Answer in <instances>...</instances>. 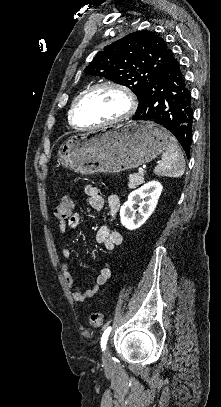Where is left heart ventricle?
<instances>
[{
	"instance_id": "left-heart-ventricle-1",
	"label": "left heart ventricle",
	"mask_w": 221,
	"mask_h": 407,
	"mask_svg": "<svg viewBox=\"0 0 221 407\" xmlns=\"http://www.w3.org/2000/svg\"><path fill=\"white\" fill-rule=\"evenodd\" d=\"M128 109L125 95L113 88H104L91 93L77 111V124L81 127L103 123L122 116Z\"/></svg>"
}]
</instances>
